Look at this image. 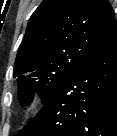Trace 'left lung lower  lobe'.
<instances>
[{
	"mask_svg": "<svg viewBox=\"0 0 117 136\" xmlns=\"http://www.w3.org/2000/svg\"><path fill=\"white\" fill-rule=\"evenodd\" d=\"M16 136H117V26Z\"/></svg>",
	"mask_w": 117,
	"mask_h": 136,
	"instance_id": "left-lung-lower-lobe-1",
	"label": "left lung lower lobe"
}]
</instances>
